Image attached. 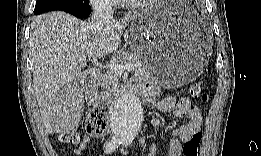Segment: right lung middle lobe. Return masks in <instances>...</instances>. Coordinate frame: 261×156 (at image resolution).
I'll return each mask as SVG.
<instances>
[{"instance_id": "obj_1", "label": "right lung middle lobe", "mask_w": 261, "mask_h": 156, "mask_svg": "<svg viewBox=\"0 0 261 156\" xmlns=\"http://www.w3.org/2000/svg\"><path fill=\"white\" fill-rule=\"evenodd\" d=\"M79 4H89L88 0H37L34 13L50 10H67Z\"/></svg>"}]
</instances>
